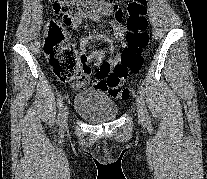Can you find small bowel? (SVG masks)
<instances>
[{"mask_svg":"<svg viewBox=\"0 0 207 179\" xmlns=\"http://www.w3.org/2000/svg\"><path fill=\"white\" fill-rule=\"evenodd\" d=\"M101 15H109L113 17V23L111 25L112 32L116 38L124 42V33L126 32V28L120 24L122 18H123V11L120 9V7L117 4H113L110 6V8L105 12L101 13L99 11L90 9L83 14L75 17L72 21V27L80 31L81 33V45H82V50L84 44H86L90 39H93L97 37V33L95 31H89V30H82V22L84 20H92V21H100ZM103 39L108 41V38L103 37ZM109 53L113 52V47H110L108 49ZM91 57L96 58L97 60L101 61L103 59V51H92L89 53ZM119 60V55L112 57L111 61L112 62H117ZM86 84L81 83L77 84L76 86L78 88H83Z\"/></svg>","mask_w":207,"mask_h":179,"instance_id":"obj_1","label":"small bowel"}]
</instances>
